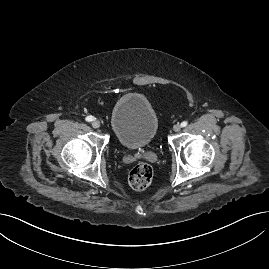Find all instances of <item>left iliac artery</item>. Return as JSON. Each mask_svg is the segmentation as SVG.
<instances>
[{
    "mask_svg": "<svg viewBox=\"0 0 269 269\" xmlns=\"http://www.w3.org/2000/svg\"><path fill=\"white\" fill-rule=\"evenodd\" d=\"M187 124H188V122H187V121H183V122L181 123V127H186V126H187Z\"/></svg>",
    "mask_w": 269,
    "mask_h": 269,
    "instance_id": "1",
    "label": "left iliac artery"
}]
</instances>
